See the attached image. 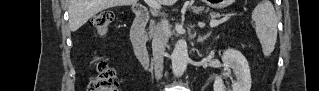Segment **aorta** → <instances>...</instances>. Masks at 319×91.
Listing matches in <instances>:
<instances>
[{
    "label": "aorta",
    "mask_w": 319,
    "mask_h": 91,
    "mask_svg": "<svg viewBox=\"0 0 319 91\" xmlns=\"http://www.w3.org/2000/svg\"><path fill=\"white\" fill-rule=\"evenodd\" d=\"M189 61L187 44L184 41H178L172 53V71L175 76H181Z\"/></svg>",
    "instance_id": "1"
}]
</instances>
